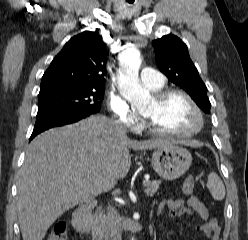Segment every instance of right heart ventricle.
<instances>
[{
    "label": "right heart ventricle",
    "instance_id": "obj_1",
    "mask_svg": "<svg viewBox=\"0 0 248 240\" xmlns=\"http://www.w3.org/2000/svg\"><path fill=\"white\" fill-rule=\"evenodd\" d=\"M161 87H162V86H161ZM161 87L155 88V89H153V90H158V89H161Z\"/></svg>",
    "mask_w": 248,
    "mask_h": 240
}]
</instances>
